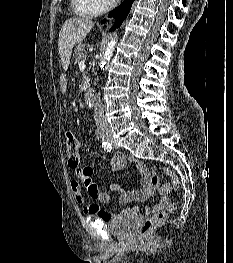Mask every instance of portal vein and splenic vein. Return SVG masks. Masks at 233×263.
I'll list each match as a JSON object with an SVG mask.
<instances>
[{"instance_id": "1", "label": "portal vein and splenic vein", "mask_w": 233, "mask_h": 263, "mask_svg": "<svg viewBox=\"0 0 233 263\" xmlns=\"http://www.w3.org/2000/svg\"><path fill=\"white\" fill-rule=\"evenodd\" d=\"M79 67H80V68H85V67H86V66H85V62H84V61H80Z\"/></svg>"}]
</instances>
